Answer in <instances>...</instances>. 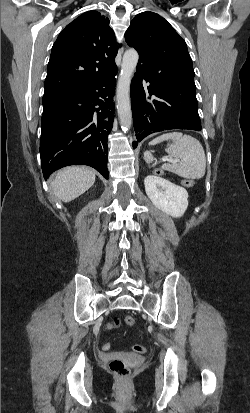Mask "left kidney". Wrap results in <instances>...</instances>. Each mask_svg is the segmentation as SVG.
I'll use <instances>...</instances> for the list:
<instances>
[{"mask_svg": "<svg viewBox=\"0 0 250 413\" xmlns=\"http://www.w3.org/2000/svg\"><path fill=\"white\" fill-rule=\"evenodd\" d=\"M144 185L148 198L162 212L179 218L187 210L188 193L183 187L157 175H148Z\"/></svg>", "mask_w": 250, "mask_h": 413, "instance_id": "left-kidney-1", "label": "left kidney"}]
</instances>
